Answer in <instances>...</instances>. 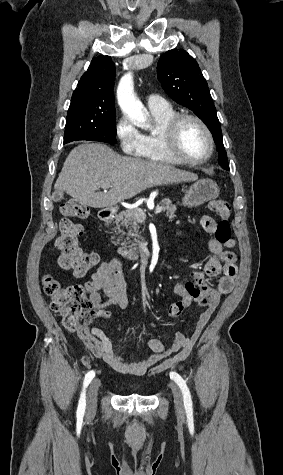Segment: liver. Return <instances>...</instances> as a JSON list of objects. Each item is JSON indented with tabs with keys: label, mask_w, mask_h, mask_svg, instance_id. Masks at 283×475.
I'll use <instances>...</instances> for the list:
<instances>
[{
	"label": "liver",
	"mask_w": 283,
	"mask_h": 475,
	"mask_svg": "<svg viewBox=\"0 0 283 475\" xmlns=\"http://www.w3.org/2000/svg\"><path fill=\"white\" fill-rule=\"evenodd\" d=\"M195 180L197 174L168 164L119 156L105 144H81L67 156L54 188L82 206L112 208L147 188ZM100 184H110L112 188L109 192H95Z\"/></svg>",
	"instance_id": "obj_1"
}]
</instances>
